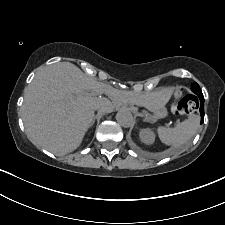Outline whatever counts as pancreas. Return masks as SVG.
<instances>
[{
	"instance_id": "pancreas-1",
	"label": "pancreas",
	"mask_w": 225,
	"mask_h": 225,
	"mask_svg": "<svg viewBox=\"0 0 225 225\" xmlns=\"http://www.w3.org/2000/svg\"><path fill=\"white\" fill-rule=\"evenodd\" d=\"M164 115H166V110L165 111H157L155 113V117H163Z\"/></svg>"
}]
</instances>
